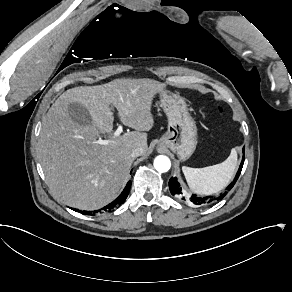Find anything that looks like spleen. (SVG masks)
<instances>
[{"instance_id": "1", "label": "spleen", "mask_w": 292, "mask_h": 292, "mask_svg": "<svg viewBox=\"0 0 292 292\" xmlns=\"http://www.w3.org/2000/svg\"><path fill=\"white\" fill-rule=\"evenodd\" d=\"M237 151L231 150L228 158L220 164L204 168L182 167L189 187L197 194L211 195L224 189L234 176Z\"/></svg>"}]
</instances>
